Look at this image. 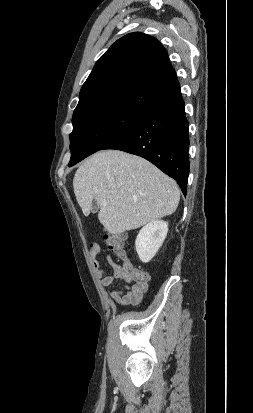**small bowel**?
<instances>
[{
	"label": "small bowel",
	"instance_id": "small-bowel-1",
	"mask_svg": "<svg viewBox=\"0 0 253 413\" xmlns=\"http://www.w3.org/2000/svg\"><path fill=\"white\" fill-rule=\"evenodd\" d=\"M103 251V248L96 243H93L90 246V259L96 275L100 278V283L103 286H113L117 283H121L123 288L112 291L109 294L111 299L122 306L138 305L143 300L145 293L148 290V283L133 284V280L123 272L124 264L119 265L116 263L111 254L107 255V262L113 269V274L107 275L98 260L99 255Z\"/></svg>",
	"mask_w": 253,
	"mask_h": 413
}]
</instances>
